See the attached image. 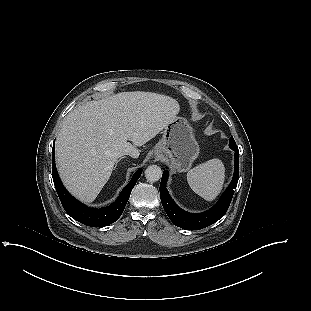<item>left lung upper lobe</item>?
Here are the masks:
<instances>
[{"mask_svg": "<svg viewBox=\"0 0 311 311\" xmlns=\"http://www.w3.org/2000/svg\"><path fill=\"white\" fill-rule=\"evenodd\" d=\"M232 144L236 145V143H235L233 137L230 138V143H229V145H232Z\"/></svg>", "mask_w": 311, "mask_h": 311, "instance_id": "left-lung-upper-lobe-1", "label": "left lung upper lobe"}]
</instances>
